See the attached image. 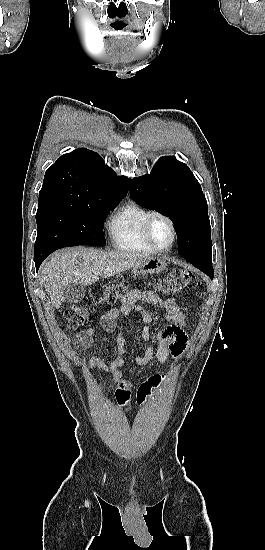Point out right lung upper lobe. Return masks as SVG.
<instances>
[{"label":"right lung upper lobe","mask_w":265,"mask_h":550,"mask_svg":"<svg viewBox=\"0 0 265 550\" xmlns=\"http://www.w3.org/2000/svg\"><path fill=\"white\" fill-rule=\"evenodd\" d=\"M129 181L117 177L99 154L79 148L62 155L45 173L39 199L124 198Z\"/></svg>","instance_id":"1"}]
</instances>
